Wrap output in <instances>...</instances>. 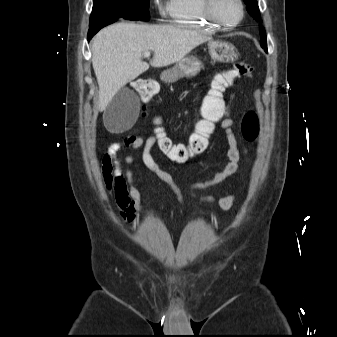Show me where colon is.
I'll use <instances>...</instances> for the list:
<instances>
[{
  "label": "colon",
  "mask_w": 337,
  "mask_h": 337,
  "mask_svg": "<svg viewBox=\"0 0 337 337\" xmlns=\"http://www.w3.org/2000/svg\"><path fill=\"white\" fill-rule=\"evenodd\" d=\"M253 67L246 62L235 63L232 67L217 72L211 82L208 94H205V100L199 101L201 119L203 126L197 127V132L191 135L187 142L176 143L174 137H169L165 132L164 126H152L151 132L156 133L158 139L159 151H162L168 157V161L186 162L191 158L203 153L208 146V134L213 132L212 125L224 116L226 100H223V92L233 85L240 78L251 76ZM134 88L143 97L144 103H153L156 97L157 85L151 78L137 79L133 83ZM142 112L144 118H149V113L153 112L152 106H143ZM241 131L245 140L254 142L259 136L260 125L258 115L255 111H248L242 119Z\"/></svg>",
  "instance_id": "5ec220e1"
}]
</instances>
